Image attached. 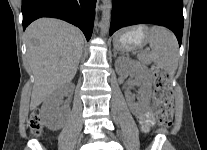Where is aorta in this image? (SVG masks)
Wrapping results in <instances>:
<instances>
[{
  "label": "aorta",
  "instance_id": "762f6f07",
  "mask_svg": "<svg viewBox=\"0 0 207 150\" xmlns=\"http://www.w3.org/2000/svg\"><path fill=\"white\" fill-rule=\"evenodd\" d=\"M103 12H102V30L106 34L109 28L110 22V9H111V0H103Z\"/></svg>",
  "mask_w": 207,
  "mask_h": 150
}]
</instances>
